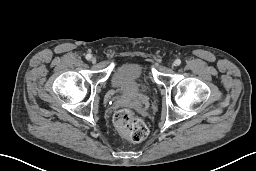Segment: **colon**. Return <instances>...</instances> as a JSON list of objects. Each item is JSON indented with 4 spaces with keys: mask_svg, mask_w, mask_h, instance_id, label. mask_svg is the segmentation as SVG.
I'll return each instance as SVG.
<instances>
[{
    "mask_svg": "<svg viewBox=\"0 0 256 171\" xmlns=\"http://www.w3.org/2000/svg\"><path fill=\"white\" fill-rule=\"evenodd\" d=\"M117 129L133 142H141L148 135L146 124L130 109H122L114 115Z\"/></svg>",
    "mask_w": 256,
    "mask_h": 171,
    "instance_id": "5ec220e1",
    "label": "colon"
}]
</instances>
